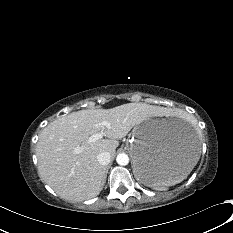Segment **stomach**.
<instances>
[{"label":"stomach","instance_id":"0dacf381","mask_svg":"<svg viewBox=\"0 0 233 233\" xmlns=\"http://www.w3.org/2000/svg\"><path fill=\"white\" fill-rule=\"evenodd\" d=\"M129 150L134 175L148 186L181 181L200 156L194 130L179 119H148L137 124L130 134Z\"/></svg>","mask_w":233,"mask_h":233}]
</instances>
